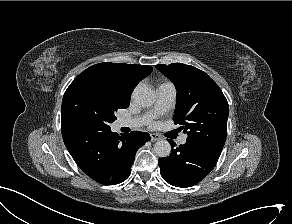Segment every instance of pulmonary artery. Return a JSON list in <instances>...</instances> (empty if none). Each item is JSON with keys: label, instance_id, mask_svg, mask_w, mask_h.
<instances>
[{"label": "pulmonary artery", "instance_id": "pulmonary-artery-1", "mask_svg": "<svg viewBox=\"0 0 292 224\" xmlns=\"http://www.w3.org/2000/svg\"><path fill=\"white\" fill-rule=\"evenodd\" d=\"M157 98L154 107L145 115L134 119L122 118L118 121L120 127L137 128L149 123L152 119L167 112L173 105L176 97V88L172 83L160 84L157 89ZM186 135H183L179 139V143H186Z\"/></svg>", "mask_w": 292, "mask_h": 224}]
</instances>
